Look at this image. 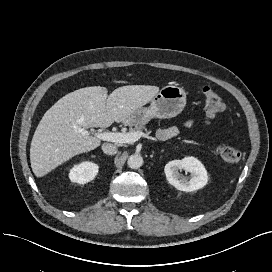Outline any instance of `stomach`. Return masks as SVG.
Listing matches in <instances>:
<instances>
[{"label":"stomach","instance_id":"0dacf381","mask_svg":"<svg viewBox=\"0 0 272 272\" xmlns=\"http://www.w3.org/2000/svg\"><path fill=\"white\" fill-rule=\"evenodd\" d=\"M186 105V92L177 85L164 86L151 100L149 107H140L125 121L126 125H144L152 118H172Z\"/></svg>","mask_w":272,"mask_h":272}]
</instances>
